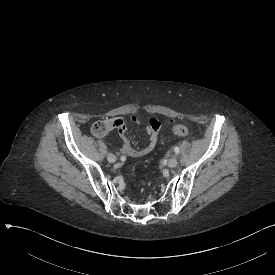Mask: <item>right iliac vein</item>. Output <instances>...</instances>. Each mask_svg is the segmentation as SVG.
<instances>
[{"instance_id":"obj_1","label":"right iliac vein","mask_w":275,"mask_h":275,"mask_svg":"<svg viewBox=\"0 0 275 275\" xmlns=\"http://www.w3.org/2000/svg\"><path fill=\"white\" fill-rule=\"evenodd\" d=\"M107 160L110 162V163H114L116 161V157L114 154L112 153H109L108 156H107Z\"/></svg>"}]
</instances>
